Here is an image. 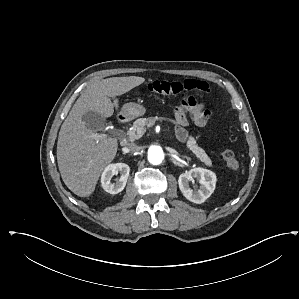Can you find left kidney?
<instances>
[{"label":"left kidney","instance_id":"obj_1","mask_svg":"<svg viewBox=\"0 0 299 299\" xmlns=\"http://www.w3.org/2000/svg\"><path fill=\"white\" fill-rule=\"evenodd\" d=\"M198 181L200 186L198 190L190 188L189 182ZM179 188L186 199L201 204L213 193L216 185V175L214 172L203 169L194 168L189 172L183 173L178 179Z\"/></svg>","mask_w":299,"mask_h":299}]
</instances>
